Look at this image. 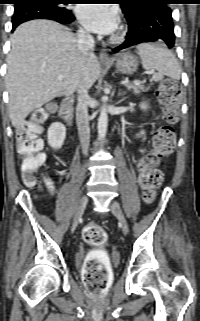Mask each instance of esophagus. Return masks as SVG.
<instances>
[{
    "instance_id": "obj_1",
    "label": "esophagus",
    "mask_w": 200,
    "mask_h": 321,
    "mask_svg": "<svg viewBox=\"0 0 200 321\" xmlns=\"http://www.w3.org/2000/svg\"><path fill=\"white\" fill-rule=\"evenodd\" d=\"M99 59L101 62H109L110 61V57H109L108 53L106 52V50L102 49L100 51Z\"/></svg>"
}]
</instances>
